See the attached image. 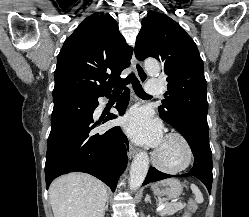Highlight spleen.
Listing matches in <instances>:
<instances>
[{
  "label": "spleen",
  "mask_w": 249,
  "mask_h": 217,
  "mask_svg": "<svg viewBox=\"0 0 249 217\" xmlns=\"http://www.w3.org/2000/svg\"><path fill=\"white\" fill-rule=\"evenodd\" d=\"M191 190L195 195V200L197 203H202L203 202V195L199 188L195 184H191Z\"/></svg>",
  "instance_id": "obj_1"
}]
</instances>
